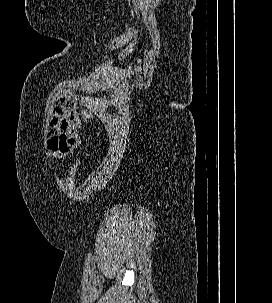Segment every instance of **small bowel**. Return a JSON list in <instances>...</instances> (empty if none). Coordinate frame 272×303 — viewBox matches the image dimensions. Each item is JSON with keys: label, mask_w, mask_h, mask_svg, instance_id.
I'll use <instances>...</instances> for the list:
<instances>
[{"label": "small bowel", "mask_w": 272, "mask_h": 303, "mask_svg": "<svg viewBox=\"0 0 272 303\" xmlns=\"http://www.w3.org/2000/svg\"><path fill=\"white\" fill-rule=\"evenodd\" d=\"M80 120L77 112L70 107L58 105L50 120L47 149L53 158H65L80 144Z\"/></svg>", "instance_id": "obj_1"}]
</instances>
